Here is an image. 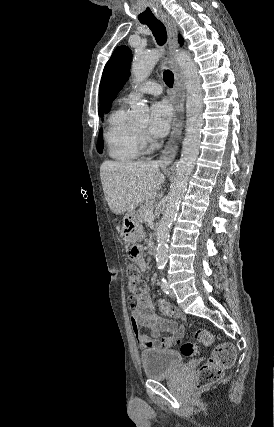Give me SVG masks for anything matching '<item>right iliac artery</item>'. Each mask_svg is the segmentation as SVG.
Returning <instances> with one entry per match:
<instances>
[{"mask_svg": "<svg viewBox=\"0 0 274 427\" xmlns=\"http://www.w3.org/2000/svg\"><path fill=\"white\" fill-rule=\"evenodd\" d=\"M161 289H162V291H163L166 295H168V294H169V285H168V283H167V281H166V280H162V282H161Z\"/></svg>", "mask_w": 274, "mask_h": 427, "instance_id": "right-iliac-artery-1", "label": "right iliac artery"}]
</instances>
